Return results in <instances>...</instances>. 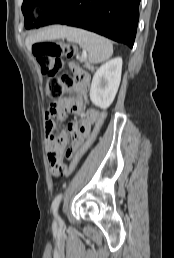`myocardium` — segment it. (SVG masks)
<instances>
[{
  "label": "myocardium",
  "mask_w": 174,
  "mask_h": 258,
  "mask_svg": "<svg viewBox=\"0 0 174 258\" xmlns=\"http://www.w3.org/2000/svg\"><path fill=\"white\" fill-rule=\"evenodd\" d=\"M57 2V0H37L35 2L34 8L39 12L46 11L54 7Z\"/></svg>",
  "instance_id": "myocardium-1"
}]
</instances>
